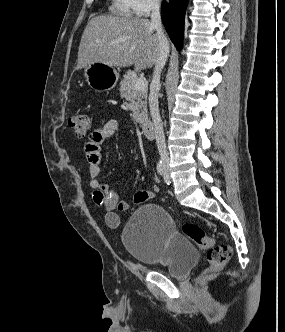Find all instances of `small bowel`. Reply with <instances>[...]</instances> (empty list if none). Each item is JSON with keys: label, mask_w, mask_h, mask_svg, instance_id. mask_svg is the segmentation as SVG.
<instances>
[{"label": "small bowel", "mask_w": 285, "mask_h": 332, "mask_svg": "<svg viewBox=\"0 0 285 332\" xmlns=\"http://www.w3.org/2000/svg\"><path fill=\"white\" fill-rule=\"evenodd\" d=\"M119 122L114 118L104 119L93 131L90 140L85 145L89 162L90 187L93 201L105 210V220L108 226L117 228L120 217L117 212H124L130 208V203L119 198L118 194L110 189L107 184L100 181L98 176L102 168L101 145L108 141L118 130ZM149 190L138 191L134 195V203L141 204L153 196Z\"/></svg>", "instance_id": "c3829d8e"}]
</instances>
